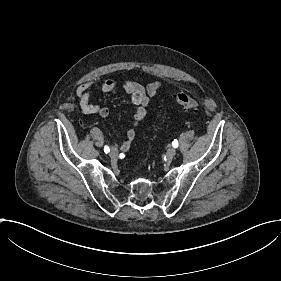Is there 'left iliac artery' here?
Listing matches in <instances>:
<instances>
[{
	"instance_id": "left-iliac-artery-1",
	"label": "left iliac artery",
	"mask_w": 281,
	"mask_h": 281,
	"mask_svg": "<svg viewBox=\"0 0 281 281\" xmlns=\"http://www.w3.org/2000/svg\"><path fill=\"white\" fill-rule=\"evenodd\" d=\"M172 146L174 148H177L178 147V141L176 139H174V141L172 142Z\"/></svg>"
}]
</instances>
